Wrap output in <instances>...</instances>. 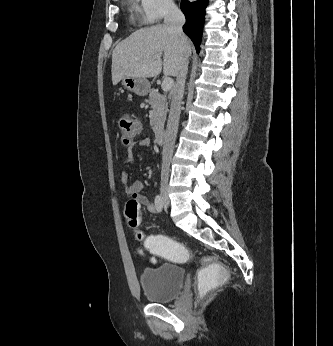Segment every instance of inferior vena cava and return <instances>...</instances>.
Wrapping results in <instances>:
<instances>
[{
	"instance_id": "obj_1",
	"label": "inferior vena cava",
	"mask_w": 333,
	"mask_h": 346,
	"mask_svg": "<svg viewBox=\"0 0 333 346\" xmlns=\"http://www.w3.org/2000/svg\"><path fill=\"white\" fill-rule=\"evenodd\" d=\"M165 25L174 32L179 38V46L181 50V56L178 65V71L176 75V84L172 91L171 107L169 117L167 121V127L164 136V144L162 151V170L161 178H168L170 163L173 155L174 144L176 140L178 123L180 118L181 101L184 94L185 79L188 70V54L186 52L185 40L186 37L183 34L182 26L185 23V16L183 13L173 4L167 6L166 14L164 17Z\"/></svg>"
}]
</instances>
